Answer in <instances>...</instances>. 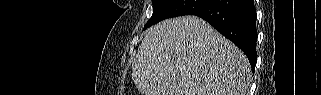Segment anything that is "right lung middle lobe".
<instances>
[{
	"label": "right lung middle lobe",
	"instance_id": "dd1d6c3e",
	"mask_svg": "<svg viewBox=\"0 0 321 95\" xmlns=\"http://www.w3.org/2000/svg\"><path fill=\"white\" fill-rule=\"evenodd\" d=\"M209 0H152L153 14L144 26L148 27L171 17L190 15Z\"/></svg>",
	"mask_w": 321,
	"mask_h": 95
}]
</instances>
